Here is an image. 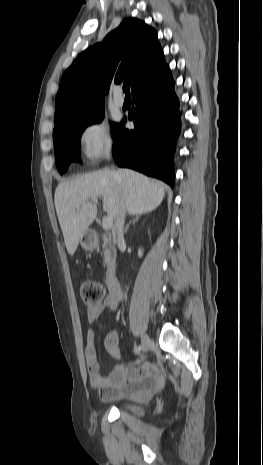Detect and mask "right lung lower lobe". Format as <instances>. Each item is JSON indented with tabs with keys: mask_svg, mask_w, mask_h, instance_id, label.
Returning <instances> with one entry per match:
<instances>
[{
	"mask_svg": "<svg viewBox=\"0 0 263 465\" xmlns=\"http://www.w3.org/2000/svg\"><path fill=\"white\" fill-rule=\"evenodd\" d=\"M167 65L133 92L129 120L134 130L125 129L126 118L113 130V157L120 167H129L174 186L173 153L181 131L179 99Z\"/></svg>",
	"mask_w": 263,
	"mask_h": 465,
	"instance_id": "1",
	"label": "right lung lower lobe"
}]
</instances>
